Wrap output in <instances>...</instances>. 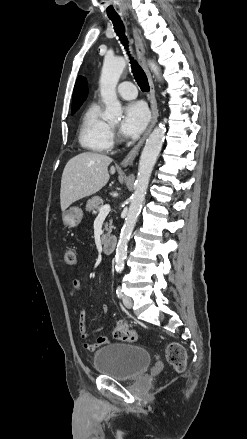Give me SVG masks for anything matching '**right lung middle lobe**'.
<instances>
[{
  "label": "right lung middle lobe",
  "instance_id": "dd1d6c3e",
  "mask_svg": "<svg viewBox=\"0 0 247 439\" xmlns=\"http://www.w3.org/2000/svg\"><path fill=\"white\" fill-rule=\"evenodd\" d=\"M78 109L72 110L71 114H74Z\"/></svg>",
  "mask_w": 247,
  "mask_h": 439
}]
</instances>
